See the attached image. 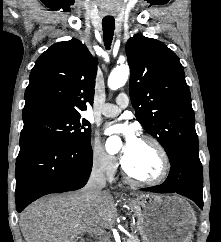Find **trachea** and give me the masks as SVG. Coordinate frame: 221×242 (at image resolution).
Here are the masks:
<instances>
[{
    "label": "trachea",
    "mask_w": 221,
    "mask_h": 242,
    "mask_svg": "<svg viewBox=\"0 0 221 242\" xmlns=\"http://www.w3.org/2000/svg\"><path fill=\"white\" fill-rule=\"evenodd\" d=\"M115 29V21L113 18H104L103 19V40L104 45L107 49H110L113 35Z\"/></svg>",
    "instance_id": "trachea-1"
}]
</instances>
